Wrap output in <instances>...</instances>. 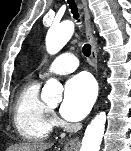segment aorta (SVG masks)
<instances>
[{
  "label": "aorta",
  "instance_id": "obj_1",
  "mask_svg": "<svg viewBox=\"0 0 131 151\" xmlns=\"http://www.w3.org/2000/svg\"><path fill=\"white\" fill-rule=\"evenodd\" d=\"M74 33L72 21H64L59 25L52 26L47 34L46 45L50 54L59 52L69 41ZM59 92V83L55 79L48 80L44 87V93L52 97ZM106 124L105 112L97 114L87 126L80 151H99L104 136Z\"/></svg>",
  "mask_w": 131,
  "mask_h": 151
}]
</instances>
